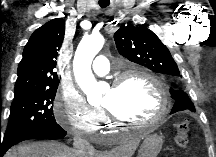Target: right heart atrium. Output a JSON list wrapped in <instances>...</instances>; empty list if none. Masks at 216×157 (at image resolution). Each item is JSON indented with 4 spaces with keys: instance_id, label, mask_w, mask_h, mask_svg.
<instances>
[{
    "instance_id": "d8ad5b80",
    "label": "right heart atrium",
    "mask_w": 216,
    "mask_h": 157,
    "mask_svg": "<svg viewBox=\"0 0 216 157\" xmlns=\"http://www.w3.org/2000/svg\"><path fill=\"white\" fill-rule=\"evenodd\" d=\"M56 121L69 132L90 136L96 133L105 122V113L101 107L90 105L76 89H64L54 102Z\"/></svg>"
}]
</instances>
